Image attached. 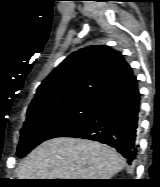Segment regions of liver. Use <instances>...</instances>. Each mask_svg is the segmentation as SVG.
<instances>
[{
	"label": "liver",
	"instance_id": "6515ba94",
	"mask_svg": "<svg viewBox=\"0 0 160 187\" xmlns=\"http://www.w3.org/2000/svg\"><path fill=\"white\" fill-rule=\"evenodd\" d=\"M125 166L113 148L96 141L58 137L36 147L19 163V179H110Z\"/></svg>",
	"mask_w": 160,
	"mask_h": 187
}]
</instances>
